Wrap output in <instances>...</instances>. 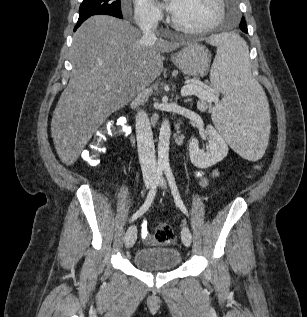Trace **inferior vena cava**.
<instances>
[{"instance_id": "obj_1", "label": "inferior vena cava", "mask_w": 307, "mask_h": 317, "mask_svg": "<svg viewBox=\"0 0 307 317\" xmlns=\"http://www.w3.org/2000/svg\"><path fill=\"white\" fill-rule=\"evenodd\" d=\"M158 19L147 18L140 22L139 27L142 31V38L147 42H155L154 31L157 27ZM135 128L137 137V148L139 161L144 178L153 177L157 172V161L151 125L148 114L140 110L135 117Z\"/></svg>"}]
</instances>
